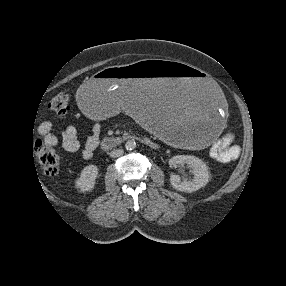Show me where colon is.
<instances>
[{"label":"colon","instance_id":"5ec220e1","mask_svg":"<svg viewBox=\"0 0 286 286\" xmlns=\"http://www.w3.org/2000/svg\"><path fill=\"white\" fill-rule=\"evenodd\" d=\"M49 108L59 116L67 115L71 108L69 96L65 93L58 94L50 101ZM234 139L235 134L233 132H228L223 135L213 145L212 154L220 160H229L232 157L229 149ZM34 152L45 174L54 176L58 173L61 158L55 150L42 142H37L34 147Z\"/></svg>","mask_w":286,"mask_h":286}]
</instances>
